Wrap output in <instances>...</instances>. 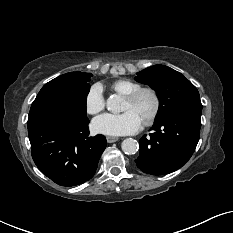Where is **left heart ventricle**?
Returning <instances> with one entry per match:
<instances>
[{
	"instance_id": "obj_1",
	"label": "left heart ventricle",
	"mask_w": 233,
	"mask_h": 233,
	"mask_svg": "<svg viewBox=\"0 0 233 233\" xmlns=\"http://www.w3.org/2000/svg\"><path fill=\"white\" fill-rule=\"evenodd\" d=\"M153 108V98L149 93H143L136 101L124 100L122 111L132 110L142 121L146 119Z\"/></svg>"
}]
</instances>
